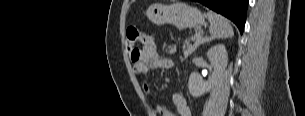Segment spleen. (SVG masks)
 Masks as SVG:
<instances>
[{
	"label": "spleen",
	"mask_w": 305,
	"mask_h": 116,
	"mask_svg": "<svg viewBox=\"0 0 305 116\" xmlns=\"http://www.w3.org/2000/svg\"><path fill=\"white\" fill-rule=\"evenodd\" d=\"M210 23V40L233 37L234 31L228 19L213 11L207 13Z\"/></svg>",
	"instance_id": "3e777b00"
}]
</instances>
